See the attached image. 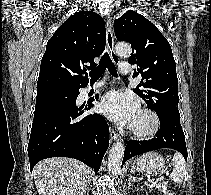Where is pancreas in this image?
Here are the masks:
<instances>
[{
    "mask_svg": "<svg viewBox=\"0 0 211 195\" xmlns=\"http://www.w3.org/2000/svg\"><path fill=\"white\" fill-rule=\"evenodd\" d=\"M167 182H160L156 184V188L160 191H166L167 190Z\"/></svg>",
    "mask_w": 211,
    "mask_h": 195,
    "instance_id": "obj_1",
    "label": "pancreas"
}]
</instances>
